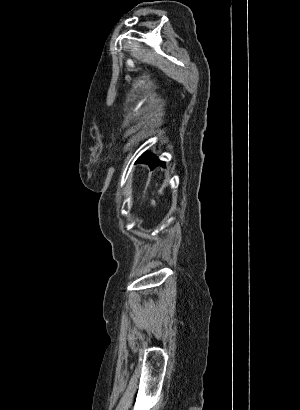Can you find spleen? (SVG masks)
Here are the masks:
<instances>
[{
	"label": "spleen",
	"mask_w": 300,
	"mask_h": 410,
	"mask_svg": "<svg viewBox=\"0 0 300 410\" xmlns=\"http://www.w3.org/2000/svg\"><path fill=\"white\" fill-rule=\"evenodd\" d=\"M152 204L155 205V201H154V200L152 201Z\"/></svg>",
	"instance_id": "obj_1"
}]
</instances>
